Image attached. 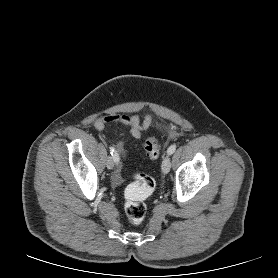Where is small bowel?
Segmentation results:
<instances>
[{"instance_id": "small-bowel-1", "label": "small bowel", "mask_w": 278, "mask_h": 278, "mask_svg": "<svg viewBox=\"0 0 278 278\" xmlns=\"http://www.w3.org/2000/svg\"><path fill=\"white\" fill-rule=\"evenodd\" d=\"M151 123L152 117L150 115H146L143 119H140L137 115L112 114L98 118L94 122V128L97 131H103L108 125L121 124L129 129V133L134 139H140L143 131L148 129ZM115 147L117 152H119L121 156L125 157L123 146L120 143H117L115 144ZM119 180V175H116L115 182H119Z\"/></svg>"}]
</instances>
